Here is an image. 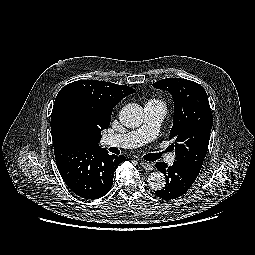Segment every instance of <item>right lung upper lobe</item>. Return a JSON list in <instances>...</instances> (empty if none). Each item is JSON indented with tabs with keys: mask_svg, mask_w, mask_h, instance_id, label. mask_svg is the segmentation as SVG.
Instances as JSON below:
<instances>
[{
	"mask_svg": "<svg viewBox=\"0 0 255 255\" xmlns=\"http://www.w3.org/2000/svg\"><path fill=\"white\" fill-rule=\"evenodd\" d=\"M134 92L126 85L94 80H79L64 86L56 96L51 115L54 150L69 147L60 139L57 130L59 114L68 103H77L87 120L82 147L100 148L101 131L108 129L113 108Z\"/></svg>",
	"mask_w": 255,
	"mask_h": 255,
	"instance_id": "obj_1",
	"label": "right lung upper lobe"
}]
</instances>
